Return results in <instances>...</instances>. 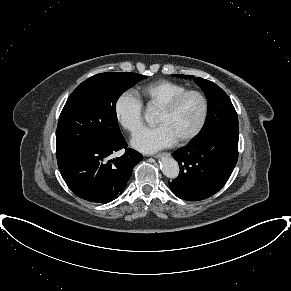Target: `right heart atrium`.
Segmentation results:
<instances>
[{"instance_id":"d8ad5b80","label":"right heart atrium","mask_w":291,"mask_h":291,"mask_svg":"<svg viewBox=\"0 0 291 291\" xmlns=\"http://www.w3.org/2000/svg\"><path fill=\"white\" fill-rule=\"evenodd\" d=\"M114 112L118 123L132 135L143 126V104L130 91L119 95L115 102Z\"/></svg>"}]
</instances>
